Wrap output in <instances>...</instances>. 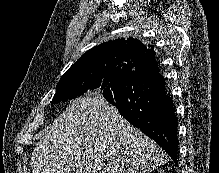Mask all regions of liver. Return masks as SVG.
<instances>
[{
  "instance_id": "6515ba94",
  "label": "liver",
  "mask_w": 219,
  "mask_h": 173,
  "mask_svg": "<svg viewBox=\"0 0 219 173\" xmlns=\"http://www.w3.org/2000/svg\"><path fill=\"white\" fill-rule=\"evenodd\" d=\"M165 161L106 99L87 95L43 130L30 165L32 173H149Z\"/></svg>"
}]
</instances>
